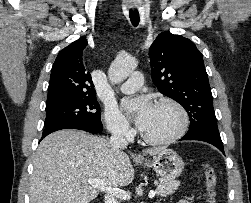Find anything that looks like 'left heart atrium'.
Masks as SVG:
<instances>
[{"mask_svg":"<svg viewBox=\"0 0 251 203\" xmlns=\"http://www.w3.org/2000/svg\"><path fill=\"white\" fill-rule=\"evenodd\" d=\"M125 108L134 114L136 126L144 130L152 116L154 105L147 96H138L124 102Z\"/></svg>","mask_w":251,"mask_h":203,"instance_id":"1","label":"left heart atrium"}]
</instances>
